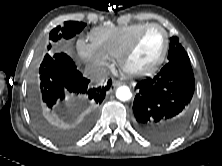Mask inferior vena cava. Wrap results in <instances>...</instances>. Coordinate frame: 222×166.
Returning a JSON list of instances; mask_svg holds the SVG:
<instances>
[{
	"label": "inferior vena cava",
	"mask_w": 222,
	"mask_h": 166,
	"mask_svg": "<svg viewBox=\"0 0 222 166\" xmlns=\"http://www.w3.org/2000/svg\"><path fill=\"white\" fill-rule=\"evenodd\" d=\"M109 72L105 67L87 66L84 76L92 81H102L108 76Z\"/></svg>",
	"instance_id": "602c4592"
}]
</instances>
